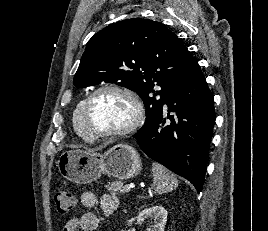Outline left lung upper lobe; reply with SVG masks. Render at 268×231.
<instances>
[{
  "mask_svg": "<svg viewBox=\"0 0 268 231\" xmlns=\"http://www.w3.org/2000/svg\"><path fill=\"white\" fill-rule=\"evenodd\" d=\"M197 61L175 33L153 20L132 18L111 24L87 43L74 76L76 87L117 83L137 92L150 128L162 113L171 87ZM160 86V91L154 88Z\"/></svg>",
  "mask_w": 268,
  "mask_h": 231,
  "instance_id": "5c2ea615",
  "label": "left lung upper lobe"
}]
</instances>
